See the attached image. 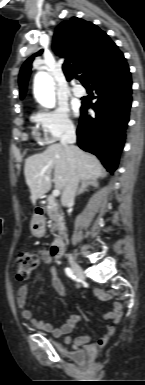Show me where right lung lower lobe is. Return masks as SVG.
<instances>
[{"label": "right lung lower lobe", "mask_w": 145, "mask_h": 385, "mask_svg": "<svg viewBox=\"0 0 145 385\" xmlns=\"http://www.w3.org/2000/svg\"><path fill=\"white\" fill-rule=\"evenodd\" d=\"M95 91L93 109L96 117L87 114L82 104L77 142L81 149L95 154L110 172H114L125 142V129L132 103V80L126 63L114 73L87 87Z\"/></svg>", "instance_id": "1"}]
</instances>
